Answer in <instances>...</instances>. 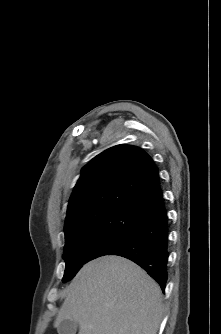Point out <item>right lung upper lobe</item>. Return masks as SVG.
<instances>
[{"label":"right lung upper lobe","instance_id":"cb5924a9","mask_svg":"<svg viewBox=\"0 0 221 334\" xmlns=\"http://www.w3.org/2000/svg\"><path fill=\"white\" fill-rule=\"evenodd\" d=\"M81 172L68 203L65 234L98 214L121 211L141 215L162 195L157 167L136 146L111 147Z\"/></svg>","mask_w":221,"mask_h":334}]
</instances>
